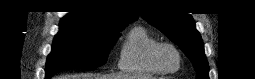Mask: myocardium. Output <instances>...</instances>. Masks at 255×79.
<instances>
[{
    "label": "myocardium",
    "instance_id": "obj_1",
    "mask_svg": "<svg viewBox=\"0 0 255 79\" xmlns=\"http://www.w3.org/2000/svg\"><path fill=\"white\" fill-rule=\"evenodd\" d=\"M165 48H170L172 49L175 54L178 57V65L176 68H168L164 65V63L162 62L161 58H160V53L162 51V49ZM151 61L154 64V66L159 69L161 72L163 73H174L176 71H178L182 65V55L180 50L172 43L169 42H159L153 49L151 52Z\"/></svg>",
    "mask_w": 255,
    "mask_h": 79
}]
</instances>
